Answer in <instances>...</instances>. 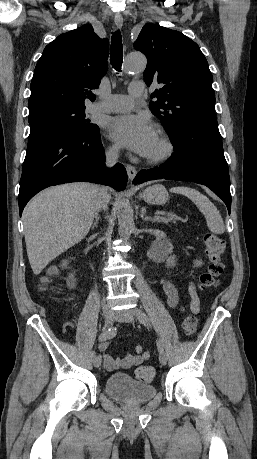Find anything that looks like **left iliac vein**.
<instances>
[{
	"label": "left iliac vein",
	"instance_id": "obj_1",
	"mask_svg": "<svg viewBox=\"0 0 257 459\" xmlns=\"http://www.w3.org/2000/svg\"><path fill=\"white\" fill-rule=\"evenodd\" d=\"M136 316H138L136 310H122V311H117L115 313V320L119 322L132 323L134 322ZM159 361L162 365H166L167 356L164 353V351H161L159 353Z\"/></svg>",
	"mask_w": 257,
	"mask_h": 459
}]
</instances>
